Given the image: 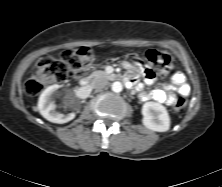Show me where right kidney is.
<instances>
[{"mask_svg": "<svg viewBox=\"0 0 222 187\" xmlns=\"http://www.w3.org/2000/svg\"><path fill=\"white\" fill-rule=\"evenodd\" d=\"M60 88L59 85H52L47 87L40 95L38 100V109L41 115L50 122L53 123H66L75 117L74 113L64 115L56 111V104L52 101L53 96Z\"/></svg>", "mask_w": 222, "mask_h": 187, "instance_id": "1", "label": "right kidney"}]
</instances>
